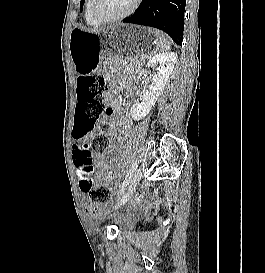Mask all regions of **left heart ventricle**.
<instances>
[{"instance_id": "b2bd125f", "label": "left heart ventricle", "mask_w": 265, "mask_h": 273, "mask_svg": "<svg viewBox=\"0 0 265 273\" xmlns=\"http://www.w3.org/2000/svg\"><path fill=\"white\" fill-rule=\"evenodd\" d=\"M134 0H98L97 11L103 17H114L126 12Z\"/></svg>"}]
</instances>
